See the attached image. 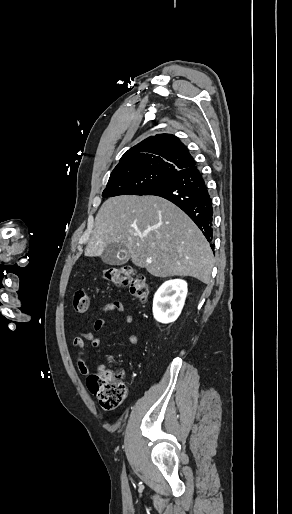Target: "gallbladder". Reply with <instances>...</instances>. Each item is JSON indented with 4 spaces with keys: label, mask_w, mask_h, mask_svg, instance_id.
Listing matches in <instances>:
<instances>
[{
    "label": "gallbladder",
    "mask_w": 292,
    "mask_h": 514,
    "mask_svg": "<svg viewBox=\"0 0 292 514\" xmlns=\"http://www.w3.org/2000/svg\"><path fill=\"white\" fill-rule=\"evenodd\" d=\"M129 252L120 242H112L107 244L103 254H101L102 262L110 264V266H122L129 260Z\"/></svg>",
    "instance_id": "bac80fb5"
}]
</instances>
